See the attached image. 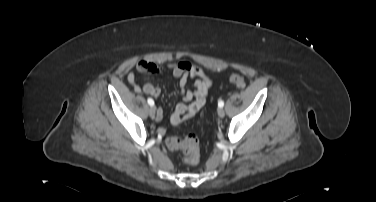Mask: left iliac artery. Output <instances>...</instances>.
I'll return each mask as SVG.
<instances>
[{
    "label": "left iliac artery",
    "mask_w": 376,
    "mask_h": 202,
    "mask_svg": "<svg viewBox=\"0 0 376 202\" xmlns=\"http://www.w3.org/2000/svg\"><path fill=\"white\" fill-rule=\"evenodd\" d=\"M224 106L223 100H219L218 102V107L222 108Z\"/></svg>",
    "instance_id": "obj_1"
}]
</instances>
